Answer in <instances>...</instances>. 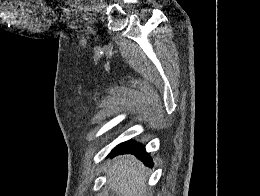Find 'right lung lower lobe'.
Masks as SVG:
<instances>
[{"label":"right lung lower lobe","instance_id":"right-lung-lower-lobe-1","mask_svg":"<svg viewBox=\"0 0 260 196\" xmlns=\"http://www.w3.org/2000/svg\"><path fill=\"white\" fill-rule=\"evenodd\" d=\"M134 154L140 160H142L146 165H152V159L145 151V147L142 144L135 143L133 141H128L117 146L115 149L112 150L110 157H114L119 154Z\"/></svg>","mask_w":260,"mask_h":196}]
</instances>
